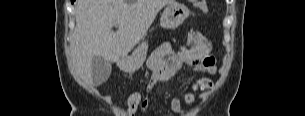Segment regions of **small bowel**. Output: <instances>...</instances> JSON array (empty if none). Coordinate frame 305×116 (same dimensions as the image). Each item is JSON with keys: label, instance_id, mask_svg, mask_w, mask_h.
Masks as SVG:
<instances>
[{"label": "small bowel", "instance_id": "1", "mask_svg": "<svg viewBox=\"0 0 305 116\" xmlns=\"http://www.w3.org/2000/svg\"><path fill=\"white\" fill-rule=\"evenodd\" d=\"M183 65L193 66L198 72L216 73L215 58L211 53L210 45L198 41L191 47L174 49L170 43H164L148 59L151 76L146 85V93L148 94L157 83L171 79ZM212 88L213 81L210 78H199L192 89L184 93L183 101L186 104H193L196 100V91L208 92ZM147 107L148 97L146 96L143 98L141 109L145 110ZM170 109L173 113L180 114L182 112L181 100L172 98Z\"/></svg>", "mask_w": 305, "mask_h": 116}]
</instances>
